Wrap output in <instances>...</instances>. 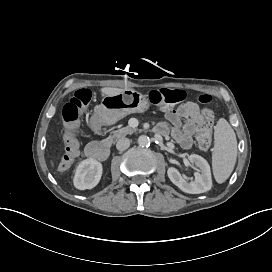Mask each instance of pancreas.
I'll list each match as a JSON object with an SVG mask.
<instances>
[{
	"mask_svg": "<svg viewBox=\"0 0 272 272\" xmlns=\"http://www.w3.org/2000/svg\"><path fill=\"white\" fill-rule=\"evenodd\" d=\"M117 121H118V119H113L108 124L111 125V124L116 123ZM135 131H136V128L126 126V127L120 128L118 130L112 131L111 135L107 139H105V141H109L110 143H114L118 139L125 137L128 134H132Z\"/></svg>",
	"mask_w": 272,
	"mask_h": 272,
	"instance_id": "cf45deb5",
	"label": "pancreas"
}]
</instances>
